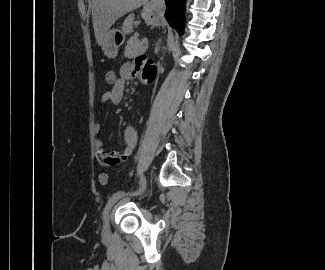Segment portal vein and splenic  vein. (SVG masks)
<instances>
[{
  "mask_svg": "<svg viewBox=\"0 0 325 270\" xmlns=\"http://www.w3.org/2000/svg\"><path fill=\"white\" fill-rule=\"evenodd\" d=\"M143 43H144V44H147V43H148V40H147V39H144V40H143Z\"/></svg>",
  "mask_w": 325,
  "mask_h": 270,
  "instance_id": "1",
  "label": "portal vein and splenic vein"
}]
</instances>
